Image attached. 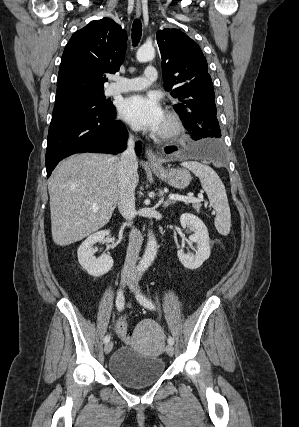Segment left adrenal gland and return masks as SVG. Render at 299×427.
Returning <instances> with one entry per match:
<instances>
[{
    "mask_svg": "<svg viewBox=\"0 0 299 427\" xmlns=\"http://www.w3.org/2000/svg\"><path fill=\"white\" fill-rule=\"evenodd\" d=\"M162 202H163V198H162ZM171 204H173V202H171L170 200H166L165 202H163V207L166 208L168 206H170Z\"/></svg>",
    "mask_w": 299,
    "mask_h": 427,
    "instance_id": "obj_1",
    "label": "left adrenal gland"
}]
</instances>
